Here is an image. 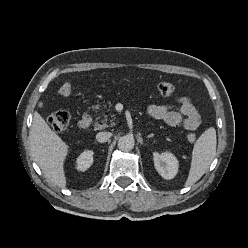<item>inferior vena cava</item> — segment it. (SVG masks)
I'll list each match as a JSON object with an SVG mask.
<instances>
[{
  "mask_svg": "<svg viewBox=\"0 0 248 248\" xmlns=\"http://www.w3.org/2000/svg\"><path fill=\"white\" fill-rule=\"evenodd\" d=\"M111 137V133L110 132H99L96 134V140L100 143H104L106 141H108Z\"/></svg>",
  "mask_w": 248,
  "mask_h": 248,
  "instance_id": "inferior-vena-cava-1",
  "label": "inferior vena cava"
}]
</instances>
